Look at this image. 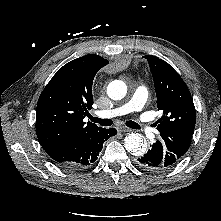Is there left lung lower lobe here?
<instances>
[{
	"label": "left lung lower lobe",
	"mask_w": 221,
	"mask_h": 221,
	"mask_svg": "<svg viewBox=\"0 0 221 221\" xmlns=\"http://www.w3.org/2000/svg\"><path fill=\"white\" fill-rule=\"evenodd\" d=\"M137 165L149 172H163L176 165L160 141L153 143L147 153L137 159Z\"/></svg>",
	"instance_id": "1"
}]
</instances>
